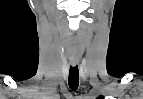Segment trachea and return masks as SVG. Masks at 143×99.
Wrapping results in <instances>:
<instances>
[{
	"instance_id": "3493384b",
	"label": "trachea",
	"mask_w": 143,
	"mask_h": 99,
	"mask_svg": "<svg viewBox=\"0 0 143 99\" xmlns=\"http://www.w3.org/2000/svg\"><path fill=\"white\" fill-rule=\"evenodd\" d=\"M69 87L75 91L79 85V70L78 66L70 67L69 77H68Z\"/></svg>"
}]
</instances>
